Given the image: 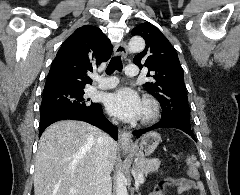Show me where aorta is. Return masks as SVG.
Instances as JSON below:
<instances>
[{
	"label": "aorta",
	"mask_w": 240,
	"mask_h": 195,
	"mask_svg": "<svg viewBox=\"0 0 240 195\" xmlns=\"http://www.w3.org/2000/svg\"><path fill=\"white\" fill-rule=\"evenodd\" d=\"M128 52L131 54H138V52H142L145 48V42L143 38H131L128 46ZM126 177L122 171V169H118L116 175V195H129L126 187Z\"/></svg>",
	"instance_id": "aorta-1"
}]
</instances>
